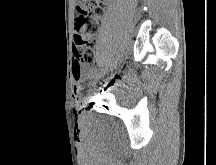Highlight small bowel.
Instances as JSON below:
<instances>
[{"instance_id":"c3829d8e","label":"small bowel","mask_w":216,"mask_h":165,"mask_svg":"<svg viewBox=\"0 0 216 165\" xmlns=\"http://www.w3.org/2000/svg\"><path fill=\"white\" fill-rule=\"evenodd\" d=\"M85 73V69L80 65L75 59L72 63V74L73 78L76 82H80L82 79L83 75ZM80 88L79 86H75V93L79 94Z\"/></svg>"}]
</instances>
